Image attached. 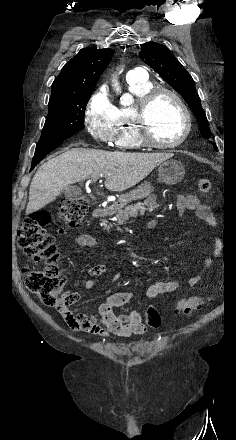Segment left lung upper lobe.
<instances>
[{
  "instance_id": "left-lung-upper-lobe-1",
  "label": "left lung upper lobe",
  "mask_w": 236,
  "mask_h": 440,
  "mask_svg": "<svg viewBox=\"0 0 236 440\" xmlns=\"http://www.w3.org/2000/svg\"><path fill=\"white\" fill-rule=\"evenodd\" d=\"M141 60L152 67L168 84H170L190 105L196 115L201 135L209 139L211 132L200 98L195 89V83L182 64L174 57L166 46L156 42L141 45L139 53Z\"/></svg>"
}]
</instances>
